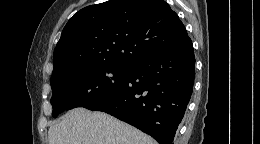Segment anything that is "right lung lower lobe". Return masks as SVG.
<instances>
[{
  "instance_id": "right-lung-lower-lobe-1",
  "label": "right lung lower lobe",
  "mask_w": 260,
  "mask_h": 144,
  "mask_svg": "<svg viewBox=\"0 0 260 144\" xmlns=\"http://www.w3.org/2000/svg\"><path fill=\"white\" fill-rule=\"evenodd\" d=\"M195 56L191 39L148 55L129 66L125 84L85 108L103 111L173 144L193 91Z\"/></svg>"
}]
</instances>
